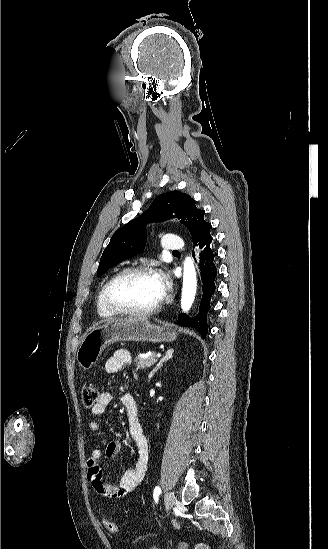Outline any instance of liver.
Instances as JSON below:
<instances>
[{"label":"liver","mask_w":328,"mask_h":549,"mask_svg":"<svg viewBox=\"0 0 328 549\" xmlns=\"http://www.w3.org/2000/svg\"><path fill=\"white\" fill-rule=\"evenodd\" d=\"M111 321H125V319H111ZM111 321H107V323H111Z\"/></svg>","instance_id":"obj_1"}]
</instances>
